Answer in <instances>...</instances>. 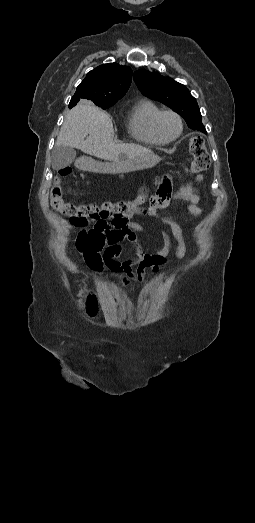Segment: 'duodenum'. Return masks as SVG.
Wrapping results in <instances>:
<instances>
[{"label": "duodenum", "mask_w": 255, "mask_h": 523, "mask_svg": "<svg viewBox=\"0 0 255 523\" xmlns=\"http://www.w3.org/2000/svg\"><path fill=\"white\" fill-rule=\"evenodd\" d=\"M92 164V160L88 157H84L79 160V167L82 170H90L92 168Z\"/></svg>", "instance_id": "410a0bca"}]
</instances>
